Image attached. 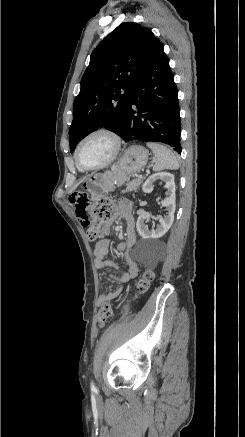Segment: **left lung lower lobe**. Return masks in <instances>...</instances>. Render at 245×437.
Returning <instances> with one entry per match:
<instances>
[{
  "instance_id": "left-lung-lower-lobe-1",
  "label": "left lung lower lobe",
  "mask_w": 245,
  "mask_h": 437,
  "mask_svg": "<svg viewBox=\"0 0 245 437\" xmlns=\"http://www.w3.org/2000/svg\"><path fill=\"white\" fill-rule=\"evenodd\" d=\"M177 94L169 59L160 43L131 89L123 140L161 142L181 153Z\"/></svg>"
}]
</instances>
